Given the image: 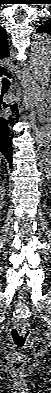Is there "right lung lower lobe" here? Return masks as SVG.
Returning <instances> with one entry per match:
<instances>
[{
    "instance_id": "right-lung-lower-lobe-1",
    "label": "right lung lower lobe",
    "mask_w": 51,
    "mask_h": 393,
    "mask_svg": "<svg viewBox=\"0 0 51 393\" xmlns=\"http://www.w3.org/2000/svg\"><path fill=\"white\" fill-rule=\"evenodd\" d=\"M10 107L16 109V104H6L3 101V93L0 94V154H3L8 160L9 165L12 166V127L17 122L18 117L14 115H7L4 112L5 108Z\"/></svg>"
}]
</instances>
